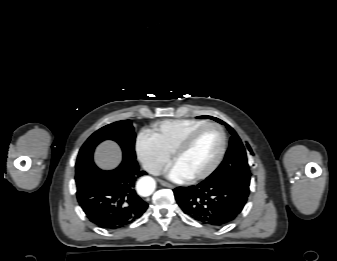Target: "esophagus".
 <instances>
[{"mask_svg":"<svg viewBox=\"0 0 337 261\" xmlns=\"http://www.w3.org/2000/svg\"><path fill=\"white\" fill-rule=\"evenodd\" d=\"M159 182H160V184H161L162 186H164V187H168V188H171V189L175 188L174 185H172V184H170V183H168V182H166V181L159 180Z\"/></svg>","mask_w":337,"mask_h":261,"instance_id":"1","label":"esophagus"}]
</instances>
